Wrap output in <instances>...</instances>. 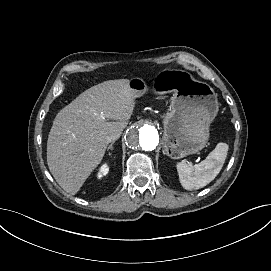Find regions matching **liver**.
Wrapping results in <instances>:
<instances>
[{"label": "liver", "instance_id": "6515ba94", "mask_svg": "<svg viewBox=\"0 0 271 271\" xmlns=\"http://www.w3.org/2000/svg\"><path fill=\"white\" fill-rule=\"evenodd\" d=\"M140 94L129 80L108 81L84 92L56 115L47 141V162L64 191L78 193L101 163L109 136L126 127Z\"/></svg>", "mask_w": 271, "mask_h": 271}]
</instances>
